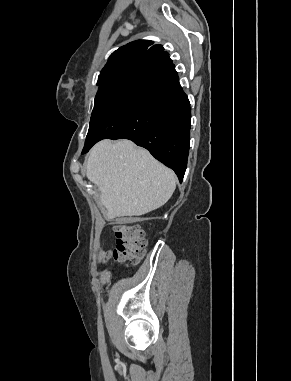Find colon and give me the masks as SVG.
<instances>
[{"label": "colon", "mask_w": 291, "mask_h": 381, "mask_svg": "<svg viewBox=\"0 0 291 381\" xmlns=\"http://www.w3.org/2000/svg\"><path fill=\"white\" fill-rule=\"evenodd\" d=\"M116 247L101 254V259H114L120 262L138 263L144 255L145 241L138 225L116 223L112 226Z\"/></svg>", "instance_id": "obj_1"}]
</instances>
